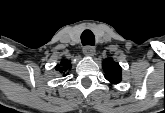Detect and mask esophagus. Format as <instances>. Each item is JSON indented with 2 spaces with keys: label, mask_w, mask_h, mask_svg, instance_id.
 I'll return each instance as SVG.
<instances>
[{
  "label": "esophagus",
  "mask_w": 165,
  "mask_h": 113,
  "mask_svg": "<svg viewBox=\"0 0 165 113\" xmlns=\"http://www.w3.org/2000/svg\"><path fill=\"white\" fill-rule=\"evenodd\" d=\"M83 53L86 56H93L95 53V48L93 46L87 45L83 48Z\"/></svg>",
  "instance_id": "esophagus-1"
}]
</instances>
